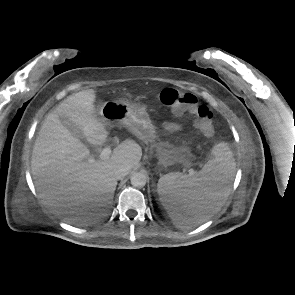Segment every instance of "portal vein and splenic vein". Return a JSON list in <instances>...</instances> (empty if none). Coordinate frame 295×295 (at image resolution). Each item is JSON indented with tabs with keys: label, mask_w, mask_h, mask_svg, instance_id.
Segmentation results:
<instances>
[{
	"label": "portal vein and splenic vein",
	"mask_w": 295,
	"mask_h": 295,
	"mask_svg": "<svg viewBox=\"0 0 295 295\" xmlns=\"http://www.w3.org/2000/svg\"><path fill=\"white\" fill-rule=\"evenodd\" d=\"M112 150L109 146L103 148L102 152L100 153V159L105 160L110 157ZM189 174H194V170L190 169Z\"/></svg>",
	"instance_id": "18ae733b"
}]
</instances>
